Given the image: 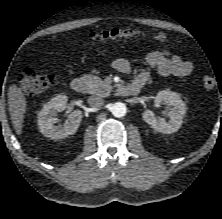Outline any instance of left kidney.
I'll return each mask as SVG.
<instances>
[{"instance_id":"5707ae66","label":"left kidney","mask_w":222,"mask_h":219,"mask_svg":"<svg viewBox=\"0 0 222 219\" xmlns=\"http://www.w3.org/2000/svg\"><path fill=\"white\" fill-rule=\"evenodd\" d=\"M156 104H166L169 109V120L158 119L150 110H145L142 114L143 120L154 130L163 134L175 133L182 125L183 117L186 113V104L181 97L172 91L163 90L155 96Z\"/></svg>"}]
</instances>
